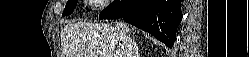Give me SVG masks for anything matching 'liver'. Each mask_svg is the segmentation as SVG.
Listing matches in <instances>:
<instances>
[{
    "label": "liver",
    "instance_id": "6515ba94",
    "mask_svg": "<svg viewBox=\"0 0 249 57\" xmlns=\"http://www.w3.org/2000/svg\"><path fill=\"white\" fill-rule=\"evenodd\" d=\"M131 31L122 21L66 25L61 33L62 57H123L120 35L129 36Z\"/></svg>",
    "mask_w": 249,
    "mask_h": 57
}]
</instances>
